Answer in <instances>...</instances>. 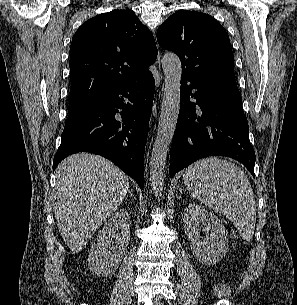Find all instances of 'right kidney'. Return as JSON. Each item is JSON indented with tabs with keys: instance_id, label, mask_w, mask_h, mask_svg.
Returning <instances> with one entry per match:
<instances>
[{
	"instance_id": "right-kidney-1",
	"label": "right kidney",
	"mask_w": 297,
	"mask_h": 305,
	"mask_svg": "<svg viewBox=\"0 0 297 305\" xmlns=\"http://www.w3.org/2000/svg\"><path fill=\"white\" fill-rule=\"evenodd\" d=\"M129 221V213L122 209L99 231L88 256V266L94 274L107 276L119 267L130 241ZM117 230L121 231L119 235Z\"/></svg>"
}]
</instances>
